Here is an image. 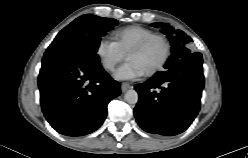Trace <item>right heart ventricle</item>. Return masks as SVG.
Segmentation results:
<instances>
[{
  "label": "right heart ventricle",
  "instance_id": "right-heart-ventricle-1",
  "mask_svg": "<svg viewBox=\"0 0 248 158\" xmlns=\"http://www.w3.org/2000/svg\"><path fill=\"white\" fill-rule=\"evenodd\" d=\"M152 34L154 32L148 28L133 25L114 31L112 36L123 53L127 54L135 44Z\"/></svg>",
  "mask_w": 248,
  "mask_h": 158
}]
</instances>
